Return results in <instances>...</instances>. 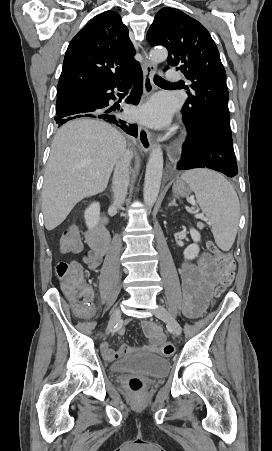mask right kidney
<instances>
[{"instance_id": "1", "label": "right kidney", "mask_w": 272, "mask_h": 451, "mask_svg": "<svg viewBox=\"0 0 272 451\" xmlns=\"http://www.w3.org/2000/svg\"><path fill=\"white\" fill-rule=\"evenodd\" d=\"M86 226L94 227L97 226L100 220V204L99 202H94V204H90L89 208L85 210L84 214Z\"/></svg>"}]
</instances>
